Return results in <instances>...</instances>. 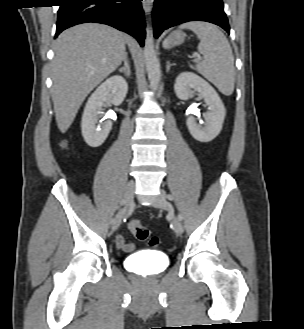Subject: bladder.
<instances>
[{
  "instance_id": "bladder-1",
  "label": "bladder",
  "mask_w": 304,
  "mask_h": 329,
  "mask_svg": "<svg viewBox=\"0 0 304 329\" xmlns=\"http://www.w3.org/2000/svg\"><path fill=\"white\" fill-rule=\"evenodd\" d=\"M130 260V258H128L126 261H129ZM141 275H156L157 274V272H153V273H148V274H143V273H140Z\"/></svg>"
}]
</instances>
